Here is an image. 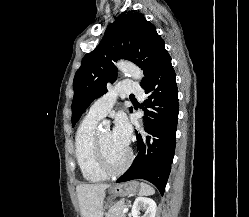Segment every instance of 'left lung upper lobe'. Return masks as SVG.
<instances>
[{"label":"left lung upper lobe","mask_w":249,"mask_h":217,"mask_svg":"<svg viewBox=\"0 0 249 217\" xmlns=\"http://www.w3.org/2000/svg\"><path fill=\"white\" fill-rule=\"evenodd\" d=\"M168 56L163 39L142 13L120 14L95 50L84 56L75 74L72 126L95 98L107 92V83L116 80L113 61L127 59L138 65L145 76L141 82L145 88Z\"/></svg>","instance_id":"5c2ea615"}]
</instances>
